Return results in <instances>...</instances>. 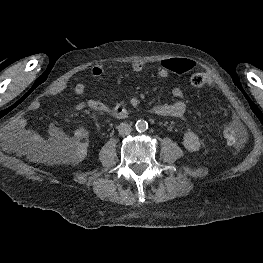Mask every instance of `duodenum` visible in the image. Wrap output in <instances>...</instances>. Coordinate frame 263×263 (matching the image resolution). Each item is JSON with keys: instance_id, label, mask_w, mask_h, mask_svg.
I'll return each mask as SVG.
<instances>
[{"instance_id": "duodenum-1", "label": "duodenum", "mask_w": 263, "mask_h": 263, "mask_svg": "<svg viewBox=\"0 0 263 263\" xmlns=\"http://www.w3.org/2000/svg\"><path fill=\"white\" fill-rule=\"evenodd\" d=\"M125 114H126V109L125 108H121L119 110V115L124 116Z\"/></svg>"}]
</instances>
